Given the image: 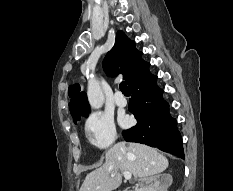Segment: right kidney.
Listing matches in <instances>:
<instances>
[{
	"mask_svg": "<svg viewBox=\"0 0 233 191\" xmlns=\"http://www.w3.org/2000/svg\"><path fill=\"white\" fill-rule=\"evenodd\" d=\"M173 178L171 174L163 173L149 178V182L145 191H167L172 184Z\"/></svg>",
	"mask_w": 233,
	"mask_h": 191,
	"instance_id": "1",
	"label": "right kidney"
}]
</instances>
